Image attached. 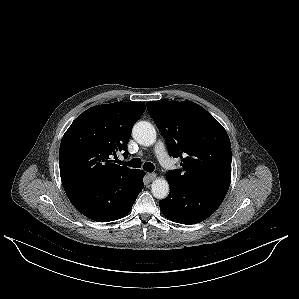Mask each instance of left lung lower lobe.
I'll return each instance as SVG.
<instances>
[{
    "instance_id": "1",
    "label": "left lung lower lobe",
    "mask_w": 299,
    "mask_h": 299,
    "mask_svg": "<svg viewBox=\"0 0 299 299\" xmlns=\"http://www.w3.org/2000/svg\"><path fill=\"white\" fill-rule=\"evenodd\" d=\"M169 196L159 202L165 217L181 224H195L208 218L224 200L228 188L207 183H178L167 177Z\"/></svg>"
}]
</instances>
